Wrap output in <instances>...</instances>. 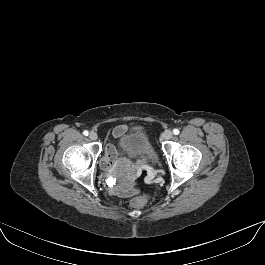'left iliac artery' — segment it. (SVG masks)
I'll return each mask as SVG.
<instances>
[{
    "label": "left iliac artery",
    "mask_w": 265,
    "mask_h": 265,
    "mask_svg": "<svg viewBox=\"0 0 265 265\" xmlns=\"http://www.w3.org/2000/svg\"><path fill=\"white\" fill-rule=\"evenodd\" d=\"M173 133H174V135H178L179 134V130L178 129H174Z\"/></svg>",
    "instance_id": "44dca946"
}]
</instances>
